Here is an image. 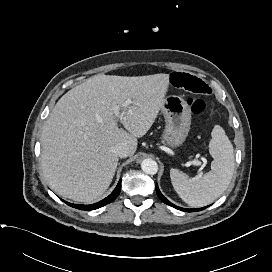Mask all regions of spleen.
Segmentation results:
<instances>
[{
    "mask_svg": "<svg viewBox=\"0 0 272 272\" xmlns=\"http://www.w3.org/2000/svg\"><path fill=\"white\" fill-rule=\"evenodd\" d=\"M211 136L209 152L214 159L211 171L202 177L190 178L178 169L170 170L175 191L192 207H202L214 202L227 189L233 177L235 160L229 138L219 125L214 126Z\"/></svg>",
    "mask_w": 272,
    "mask_h": 272,
    "instance_id": "spleen-1",
    "label": "spleen"
}]
</instances>
